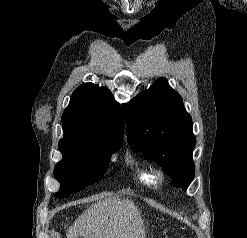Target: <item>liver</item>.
<instances>
[{"label":"liver","instance_id":"1","mask_svg":"<svg viewBox=\"0 0 247 238\" xmlns=\"http://www.w3.org/2000/svg\"><path fill=\"white\" fill-rule=\"evenodd\" d=\"M141 215L128 199L108 198L91 205L69 227L67 238H145Z\"/></svg>","mask_w":247,"mask_h":238}]
</instances>
